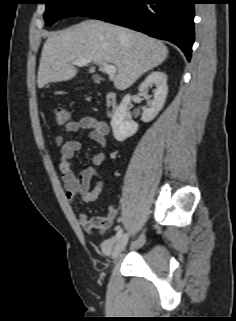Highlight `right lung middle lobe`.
<instances>
[{
    "mask_svg": "<svg viewBox=\"0 0 236 321\" xmlns=\"http://www.w3.org/2000/svg\"><path fill=\"white\" fill-rule=\"evenodd\" d=\"M111 0H45V22L51 26L58 19L68 16H89Z\"/></svg>",
    "mask_w": 236,
    "mask_h": 321,
    "instance_id": "obj_1",
    "label": "right lung middle lobe"
}]
</instances>
